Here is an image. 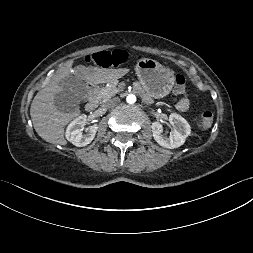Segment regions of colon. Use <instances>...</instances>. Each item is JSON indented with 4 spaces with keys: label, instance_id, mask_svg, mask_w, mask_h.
<instances>
[{
    "label": "colon",
    "instance_id": "colon-1",
    "mask_svg": "<svg viewBox=\"0 0 253 253\" xmlns=\"http://www.w3.org/2000/svg\"><path fill=\"white\" fill-rule=\"evenodd\" d=\"M125 57V52L121 50L101 51L87 55L84 61L88 64L106 65L112 62H122ZM174 92L178 95H186V80L181 74L175 77ZM213 122V113L209 110H203L199 116V127L208 129Z\"/></svg>",
    "mask_w": 253,
    "mask_h": 253
}]
</instances>
